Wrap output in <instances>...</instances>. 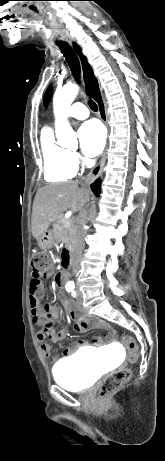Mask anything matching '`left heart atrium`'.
Segmentation results:
<instances>
[{
  "instance_id": "left-heart-atrium-1",
  "label": "left heart atrium",
  "mask_w": 165,
  "mask_h": 461,
  "mask_svg": "<svg viewBox=\"0 0 165 461\" xmlns=\"http://www.w3.org/2000/svg\"><path fill=\"white\" fill-rule=\"evenodd\" d=\"M79 140L82 152L94 157L100 154L105 146L106 134L103 126L94 120L87 121L79 128Z\"/></svg>"
}]
</instances>
